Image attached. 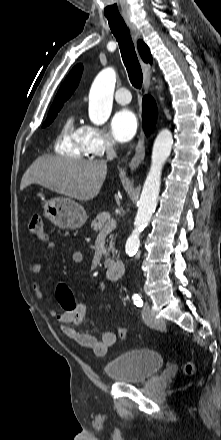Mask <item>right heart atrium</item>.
<instances>
[{
  "mask_svg": "<svg viewBox=\"0 0 221 440\" xmlns=\"http://www.w3.org/2000/svg\"><path fill=\"white\" fill-rule=\"evenodd\" d=\"M85 141L88 151L93 156H103L115 149V141L103 128L88 125L85 126Z\"/></svg>",
  "mask_w": 221,
  "mask_h": 440,
  "instance_id": "obj_1",
  "label": "right heart atrium"
}]
</instances>
